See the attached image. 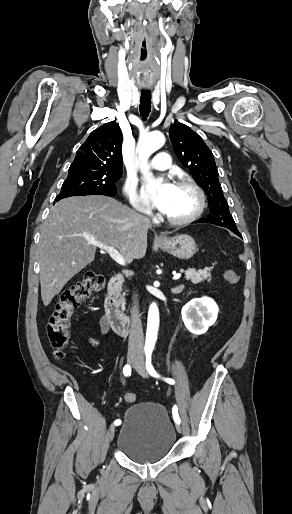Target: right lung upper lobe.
<instances>
[{
  "label": "right lung upper lobe",
  "mask_w": 292,
  "mask_h": 514,
  "mask_svg": "<svg viewBox=\"0 0 292 514\" xmlns=\"http://www.w3.org/2000/svg\"><path fill=\"white\" fill-rule=\"evenodd\" d=\"M122 138L116 122L97 128L80 146L69 173L122 174Z\"/></svg>",
  "instance_id": "right-lung-upper-lobe-1"
}]
</instances>
